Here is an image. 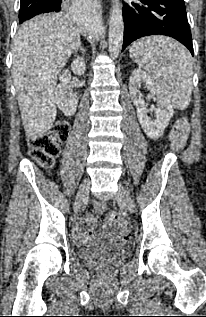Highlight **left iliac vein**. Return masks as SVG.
I'll return each instance as SVG.
<instances>
[{
  "label": "left iliac vein",
  "mask_w": 206,
  "mask_h": 317,
  "mask_svg": "<svg viewBox=\"0 0 206 317\" xmlns=\"http://www.w3.org/2000/svg\"><path fill=\"white\" fill-rule=\"evenodd\" d=\"M115 199L124 206V208L132 213L134 211V202L128 192L120 185L115 194Z\"/></svg>",
  "instance_id": "4c4485c4"
}]
</instances>
